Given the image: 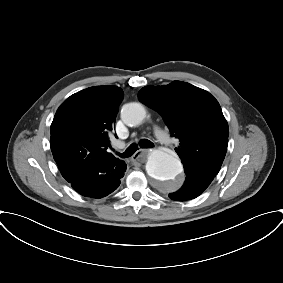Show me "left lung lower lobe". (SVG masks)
Here are the masks:
<instances>
[{
  "label": "left lung lower lobe",
  "mask_w": 283,
  "mask_h": 283,
  "mask_svg": "<svg viewBox=\"0 0 283 283\" xmlns=\"http://www.w3.org/2000/svg\"><path fill=\"white\" fill-rule=\"evenodd\" d=\"M212 181L205 178L186 174L185 182L177 192L169 194V197L177 201H185L199 196Z\"/></svg>",
  "instance_id": "obj_1"
}]
</instances>
